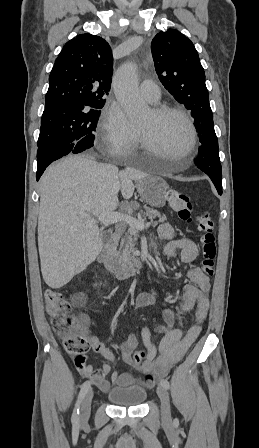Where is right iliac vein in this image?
<instances>
[{
    "instance_id": "1",
    "label": "right iliac vein",
    "mask_w": 259,
    "mask_h": 448,
    "mask_svg": "<svg viewBox=\"0 0 259 448\" xmlns=\"http://www.w3.org/2000/svg\"><path fill=\"white\" fill-rule=\"evenodd\" d=\"M92 398H93V391L92 389H90L87 391L85 397L83 398L81 406L80 423L82 424L87 423L90 417Z\"/></svg>"
}]
</instances>
